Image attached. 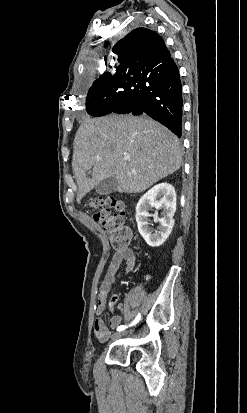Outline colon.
Here are the masks:
<instances>
[{"instance_id": "obj_1", "label": "colon", "mask_w": 247, "mask_h": 413, "mask_svg": "<svg viewBox=\"0 0 247 413\" xmlns=\"http://www.w3.org/2000/svg\"><path fill=\"white\" fill-rule=\"evenodd\" d=\"M91 206L94 209L93 216L97 220L103 230L109 234L111 244L116 250H123L132 234L124 225V203L116 198L97 199L93 201ZM111 211L119 212L120 214H111Z\"/></svg>"}]
</instances>
